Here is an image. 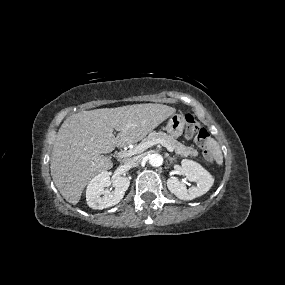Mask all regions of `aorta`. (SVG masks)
Segmentation results:
<instances>
[{
	"label": "aorta",
	"instance_id": "1",
	"mask_svg": "<svg viewBox=\"0 0 285 285\" xmlns=\"http://www.w3.org/2000/svg\"><path fill=\"white\" fill-rule=\"evenodd\" d=\"M149 163L153 167H159L163 164V157L160 154H152L149 157Z\"/></svg>",
	"mask_w": 285,
	"mask_h": 285
}]
</instances>
